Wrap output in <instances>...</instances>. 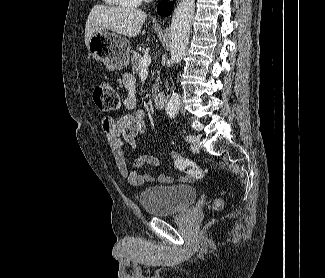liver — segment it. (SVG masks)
Listing matches in <instances>:
<instances>
[{
  "mask_svg": "<svg viewBox=\"0 0 325 278\" xmlns=\"http://www.w3.org/2000/svg\"><path fill=\"white\" fill-rule=\"evenodd\" d=\"M146 18V13L139 9L95 5L86 21L85 45L88 46L91 36L98 31L109 30L123 36L135 37L141 32Z\"/></svg>",
  "mask_w": 325,
  "mask_h": 278,
  "instance_id": "obj_1",
  "label": "liver"
}]
</instances>
